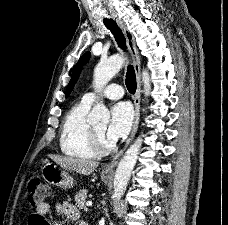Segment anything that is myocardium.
I'll use <instances>...</instances> for the list:
<instances>
[{"mask_svg": "<svg viewBox=\"0 0 228 225\" xmlns=\"http://www.w3.org/2000/svg\"><path fill=\"white\" fill-rule=\"evenodd\" d=\"M91 133L94 147L98 153L105 154L114 150V143L107 139L103 133L97 131L95 127L91 128Z\"/></svg>", "mask_w": 228, "mask_h": 225, "instance_id": "obj_1", "label": "myocardium"}]
</instances>
